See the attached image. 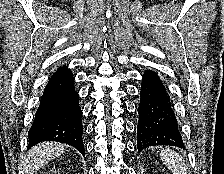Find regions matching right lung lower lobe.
Here are the masks:
<instances>
[{
	"instance_id": "98d812e1",
	"label": "right lung lower lobe",
	"mask_w": 224,
	"mask_h": 174,
	"mask_svg": "<svg viewBox=\"0 0 224 174\" xmlns=\"http://www.w3.org/2000/svg\"><path fill=\"white\" fill-rule=\"evenodd\" d=\"M82 110L71 70L63 66L51 76L29 130L28 149L43 141L75 147L84 155Z\"/></svg>"
}]
</instances>
